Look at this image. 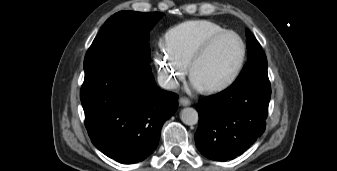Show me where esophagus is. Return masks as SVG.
<instances>
[{"mask_svg": "<svg viewBox=\"0 0 337 171\" xmlns=\"http://www.w3.org/2000/svg\"><path fill=\"white\" fill-rule=\"evenodd\" d=\"M179 103L182 106H189V105H191V101L188 98H185V97H181L179 99Z\"/></svg>", "mask_w": 337, "mask_h": 171, "instance_id": "obj_1", "label": "esophagus"}]
</instances>
